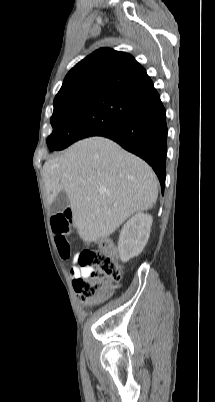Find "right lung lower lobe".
Instances as JSON below:
<instances>
[{"instance_id": "right-lung-lower-lobe-1", "label": "right lung lower lobe", "mask_w": 215, "mask_h": 402, "mask_svg": "<svg viewBox=\"0 0 215 402\" xmlns=\"http://www.w3.org/2000/svg\"><path fill=\"white\" fill-rule=\"evenodd\" d=\"M166 111L157 95L143 101L118 127L102 135L117 142L129 152L144 159L165 187L167 154Z\"/></svg>"}]
</instances>
